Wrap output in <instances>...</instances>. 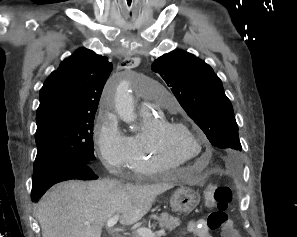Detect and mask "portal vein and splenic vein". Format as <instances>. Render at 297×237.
Instances as JSON below:
<instances>
[{"instance_id": "obj_1", "label": "portal vein and splenic vein", "mask_w": 297, "mask_h": 237, "mask_svg": "<svg viewBox=\"0 0 297 237\" xmlns=\"http://www.w3.org/2000/svg\"><path fill=\"white\" fill-rule=\"evenodd\" d=\"M119 220V214H116L115 216H113L112 218H110L107 221V226L108 227H112L114 226ZM84 225L86 226H90V222L85 221ZM136 234H138L140 237H156V236H163L165 235V230L161 229L159 231H157L156 233H153L150 229L147 228H138L136 230Z\"/></svg>"}]
</instances>
